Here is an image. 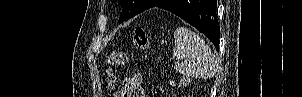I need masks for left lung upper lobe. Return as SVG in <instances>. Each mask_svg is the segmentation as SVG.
I'll use <instances>...</instances> for the list:
<instances>
[{
  "label": "left lung upper lobe",
  "instance_id": "obj_1",
  "mask_svg": "<svg viewBox=\"0 0 302 97\" xmlns=\"http://www.w3.org/2000/svg\"><path fill=\"white\" fill-rule=\"evenodd\" d=\"M154 1L155 0H118L123 7L119 22H123L150 8Z\"/></svg>",
  "mask_w": 302,
  "mask_h": 97
}]
</instances>
